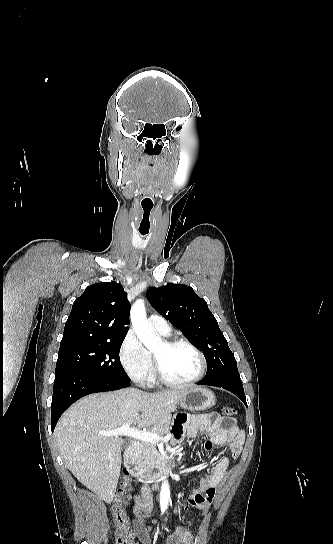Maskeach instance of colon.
Wrapping results in <instances>:
<instances>
[{
  "label": "colon",
  "mask_w": 333,
  "mask_h": 544,
  "mask_svg": "<svg viewBox=\"0 0 333 544\" xmlns=\"http://www.w3.org/2000/svg\"><path fill=\"white\" fill-rule=\"evenodd\" d=\"M221 409L223 415L229 419L236 414V410L233 407L224 406ZM130 489L131 485L128 481H126L119 490L115 503L112 507L115 521L116 544H135L126 514V507L130 499Z\"/></svg>",
  "instance_id": "obj_1"
}]
</instances>
